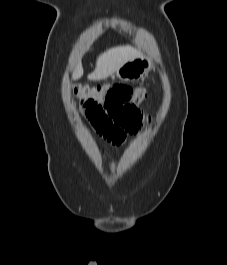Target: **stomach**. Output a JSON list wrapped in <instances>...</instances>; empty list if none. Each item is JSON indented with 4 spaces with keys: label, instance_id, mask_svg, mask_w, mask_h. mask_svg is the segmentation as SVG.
Returning <instances> with one entry per match:
<instances>
[{
    "label": "stomach",
    "instance_id": "0dacf381",
    "mask_svg": "<svg viewBox=\"0 0 227 265\" xmlns=\"http://www.w3.org/2000/svg\"><path fill=\"white\" fill-rule=\"evenodd\" d=\"M153 62L142 55L130 59L114 73V77L123 81H134L148 74L153 69Z\"/></svg>",
    "mask_w": 227,
    "mask_h": 265
}]
</instances>
